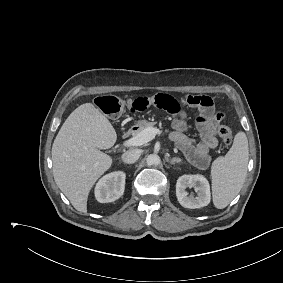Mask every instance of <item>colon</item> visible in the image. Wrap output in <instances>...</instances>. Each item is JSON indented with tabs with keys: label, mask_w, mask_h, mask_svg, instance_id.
<instances>
[{
	"label": "colon",
	"mask_w": 283,
	"mask_h": 283,
	"mask_svg": "<svg viewBox=\"0 0 283 283\" xmlns=\"http://www.w3.org/2000/svg\"><path fill=\"white\" fill-rule=\"evenodd\" d=\"M95 104L104 114L110 117H118L126 110L131 109L133 101L114 96H101L95 100ZM217 132L225 145L232 143L233 133L227 125L220 124L217 127Z\"/></svg>",
	"instance_id": "5ec220e1"
}]
</instances>
